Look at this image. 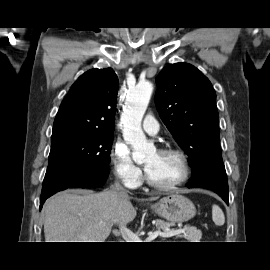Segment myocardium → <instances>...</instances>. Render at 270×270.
<instances>
[{"mask_svg":"<svg viewBox=\"0 0 270 270\" xmlns=\"http://www.w3.org/2000/svg\"><path fill=\"white\" fill-rule=\"evenodd\" d=\"M159 153H164V154H171V155H175L176 157H178V159L180 160L181 163V167H182V174L180 176L179 179H177L176 181L169 183V184H158L155 183L154 181H152L147 173V171H145V181L146 183L153 189L155 190H159V191H169V190H173L176 189L180 186H182L188 179L190 176V164H189V160L187 155L180 149L178 148H172V147H166V148H162L158 151Z\"/></svg>","mask_w":270,"mask_h":270,"instance_id":"f54148a6","label":"myocardium"}]
</instances>
